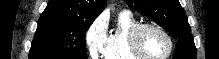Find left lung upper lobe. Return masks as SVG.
<instances>
[{
    "mask_svg": "<svg viewBox=\"0 0 219 59\" xmlns=\"http://www.w3.org/2000/svg\"><path fill=\"white\" fill-rule=\"evenodd\" d=\"M177 40L173 59H196V47L184 9L178 0H125Z\"/></svg>",
    "mask_w": 219,
    "mask_h": 59,
    "instance_id": "obj_1",
    "label": "left lung upper lobe"
}]
</instances>
